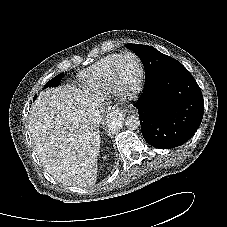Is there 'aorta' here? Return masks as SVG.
<instances>
[{
	"label": "aorta",
	"mask_w": 227,
	"mask_h": 227,
	"mask_svg": "<svg viewBox=\"0 0 227 227\" xmlns=\"http://www.w3.org/2000/svg\"><path fill=\"white\" fill-rule=\"evenodd\" d=\"M106 123L111 130H118L123 125L130 130H136L140 127V120L137 115H129L124 118L119 111L110 112Z\"/></svg>",
	"instance_id": "762f6f07"
}]
</instances>
